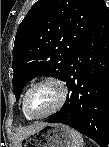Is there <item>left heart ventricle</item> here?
Instances as JSON below:
<instances>
[{
  "mask_svg": "<svg viewBox=\"0 0 109 147\" xmlns=\"http://www.w3.org/2000/svg\"><path fill=\"white\" fill-rule=\"evenodd\" d=\"M59 98V90L45 84L36 88L28 98V108L34 114H42L52 108Z\"/></svg>",
  "mask_w": 109,
  "mask_h": 147,
  "instance_id": "1",
  "label": "left heart ventricle"
}]
</instances>
